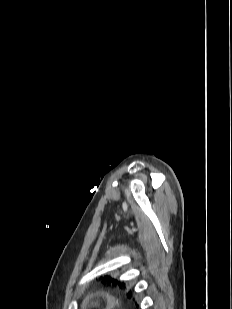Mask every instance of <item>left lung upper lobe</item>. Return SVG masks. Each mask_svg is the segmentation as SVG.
I'll use <instances>...</instances> for the list:
<instances>
[{"label": "left lung upper lobe", "mask_w": 232, "mask_h": 309, "mask_svg": "<svg viewBox=\"0 0 232 309\" xmlns=\"http://www.w3.org/2000/svg\"><path fill=\"white\" fill-rule=\"evenodd\" d=\"M100 278L103 279V282H108V283L112 282L114 284L119 283V281L117 279H114V278H112L111 276H108V275H106L104 277H100ZM128 297H130V295H128Z\"/></svg>", "instance_id": "5c2ea615"}]
</instances>
